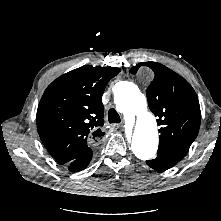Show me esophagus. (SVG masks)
<instances>
[{
    "label": "esophagus",
    "instance_id": "esophagus-1",
    "mask_svg": "<svg viewBox=\"0 0 221 221\" xmlns=\"http://www.w3.org/2000/svg\"><path fill=\"white\" fill-rule=\"evenodd\" d=\"M112 127H114V128H122V127H124V125L123 124H115V125H112Z\"/></svg>",
    "mask_w": 221,
    "mask_h": 221
}]
</instances>
